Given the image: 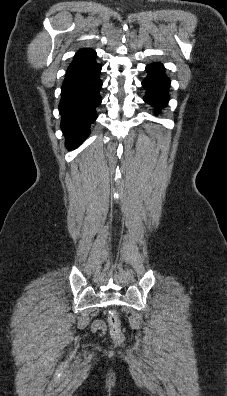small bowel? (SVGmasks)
<instances>
[{
    "mask_svg": "<svg viewBox=\"0 0 227 396\" xmlns=\"http://www.w3.org/2000/svg\"><path fill=\"white\" fill-rule=\"evenodd\" d=\"M92 330L93 331H100L103 332L104 331V324L102 321L97 320L92 324Z\"/></svg>",
    "mask_w": 227,
    "mask_h": 396,
    "instance_id": "small-bowel-1",
    "label": "small bowel"
}]
</instances>
